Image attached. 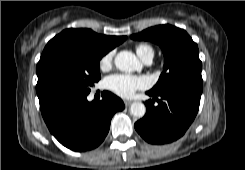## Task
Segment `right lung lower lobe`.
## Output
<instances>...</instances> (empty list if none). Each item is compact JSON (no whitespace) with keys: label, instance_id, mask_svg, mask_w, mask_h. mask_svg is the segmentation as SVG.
<instances>
[{"label":"right lung lower lobe","instance_id":"1","mask_svg":"<svg viewBox=\"0 0 245 170\" xmlns=\"http://www.w3.org/2000/svg\"><path fill=\"white\" fill-rule=\"evenodd\" d=\"M87 95L62 96L40 106L52 135L65 147L79 152L98 147L109 132L112 116L125 108L111 92L104 91L100 101L88 102Z\"/></svg>","mask_w":245,"mask_h":170}]
</instances>
